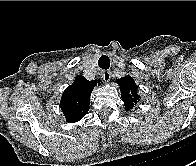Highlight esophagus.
<instances>
[{
  "label": "esophagus",
  "mask_w": 196,
  "mask_h": 166,
  "mask_svg": "<svg viewBox=\"0 0 196 166\" xmlns=\"http://www.w3.org/2000/svg\"><path fill=\"white\" fill-rule=\"evenodd\" d=\"M102 78L105 82H109L111 79V73L110 71L106 70L102 72Z\"/></svg>",
  "instance_id": "obj_1"
}]
</instances>
